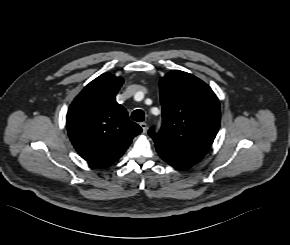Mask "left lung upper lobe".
<instances>
[{
  "mask_svg": "<svg viewBox=\"0 0 290 245\" xmlns=\"http://www.w3.org/2000/svg\"><path fill=\"white\" fill-rule=\"evenodd\" d=\"M163 124L149 135L157 147L191 163L199 162L220 127V104L212 89L192 74L173 70L160 80Z\"/></svg>",
  "mask_w": 290,
  "mask_h": 245,
  "instance_id": "obj_1",
  "label": "left lung upper lobe"
}]
</instances>
